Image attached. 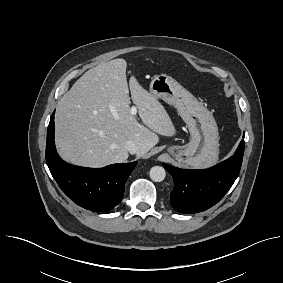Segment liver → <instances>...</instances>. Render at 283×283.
<instances>
[{
  "label": "liver",
  "mask_w": 283,
  "mask_h": 283,
  "mask_svg": "<svg viewBox=\"0 0 283 283\" xmlns=\"http://www.w3.org/2000/svg\"><path fill=\"white\" fill-rule=\"evenodd\" d=\"M127 62L122 58L85 72L64 94L55 115L56 146L72 164L99 168L122 163L129 157L126 142L135 141L145 155L176 129L163 105L147 92L134 75L129 81L131 99L143 124L130 113Z\"/></svg>",
  "instance_id": "6515ba94"
}]
</instances>
